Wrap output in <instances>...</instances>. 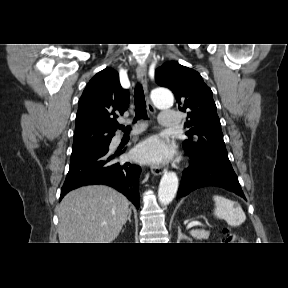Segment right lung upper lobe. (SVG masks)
Listing matches in <instances>:
<instances>
[{
	"label": "right lung upper lobe",
	"mask_w": 288,
	"mask_h": 288,
	"mask_svg": "<svg viewBox=\"0 0 288 288\" xmlns=\"http://www.w3.org/2000/svg\"><path fill=\"white\" fill-rule=\"evenodd\" d=\"M128 106L129 91L121 87L119 74L109 67L98 72L79 100L72 150L110 142L116 131V116Z\"/></svg>",
	"instance_id": "cb5924a9"
}]
</instances>
